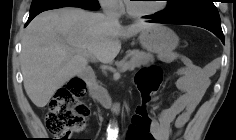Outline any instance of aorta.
Returning <instances> with one entry per match:
<instances>
[{"label": "aorta", "instance_id": "obj_1", "mask_svg": "<svg viewBox=\"0 0 236 140\" xmlns=\"http://www.w3.org/2000/svg\"><path fill=\"white\" fill-rule=\"evenodd\" d=\"M116 131H117V124L112 122L109 125L108 132L111 133L112 135H114Z\"/></svg>", "mask_w": 236, "mask_h": 140}]
</instances>
